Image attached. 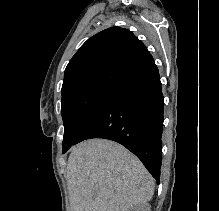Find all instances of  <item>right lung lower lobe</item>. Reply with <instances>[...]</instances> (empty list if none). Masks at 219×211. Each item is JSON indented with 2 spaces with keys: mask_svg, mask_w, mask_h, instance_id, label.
Listing matches in <instances>:
<instances>
[{
  "mask_svg": "<svg viewBox=\"0 0 219 211\" xmlns=\"http://www.w3.org/2000/svg\"><path fill=\"white\" fill-rule=\"evenodd\" d=\"M164 97L156 64L133 72L108 94L74 144L104 138L134 153L159 184Z\"/></svg>",
  "mask_w": 219,
  "mask_h": 211,
  "instance_id": "98d812e1",
  "label": "right lung lower lobe"
}]
</instances>
